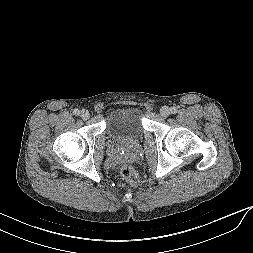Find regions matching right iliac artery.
<instances>
[{
  "instance_id": "right-iliac-artery-1",
  "label": "right iliac artery",
  "mask_w": 253,
  "mask_h": 253,
  "mask_svg": "<svg viewBox=\"0 0 253 253\" xmlns=\"http://www.w3.org/2000/svg\"><path fill=\"white\" fill-rule=\"evenodd\" d=\"M73 113H74V115H76V116L80 115V111H79L78 109H74Z\"/></svg>"
}]
</instances>
